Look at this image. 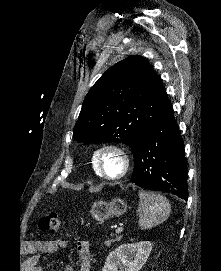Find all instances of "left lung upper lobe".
Here are the masks:
<instances>
[{"label": "left lung upper lobe", "mask_w": 221, "mask_h": 271, "mask_svg": "<svg viewBox=\"0 0 221 271\" xmlns=\"http://www.w3.org/2000/svg\"><path fill=\"white\" fill-rule=\"evenodd\" d=\"M172 109L160 77L142 56L110 67L87 93L74 127L78 142H120L138 136Z\"/></svg>", "instance_id": "1"}]
</instances>
